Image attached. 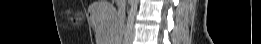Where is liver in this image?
I'll return each instance as SVG.
<instances>
[{"label": "liver", "instance_id": "6515ba94", "mask_svg": "<svg viewBox=\"0 0 261 44\" xmlns=\"http://www.w3.org/2000/svg\"><path fill=\"white\" fill-rule=\"evenodd\" d=\"M97 7V8H95ZM92 13H117V8H113L106 3V0H97V3L90 6ZM94 24H122V19H118V14H93ZM119 25H93V30H98L96 42L98 44H119L122 40V31Z\"/></svg>", "mask_w": 261, "mask_h": 44}]
</instances>
